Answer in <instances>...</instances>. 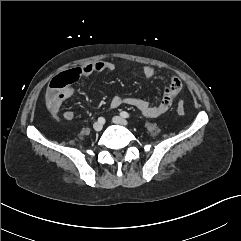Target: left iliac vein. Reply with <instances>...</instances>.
I'll use <instances>...</instances> for the list:
<instances>
[{"instance_id": "left-iliac-vein-1", "label": "left iliac vein", "mask_w": 241, "mask_h": 241, "mask_svg": "<svg viewBox=\"0 0 241 241\" xmlns=\"http://www.w3.org/2000/svg\"><path fill=\"white\" fill-rule=\"evenodd\" d=\"M112 121L115 124H119V125H123V126L128 125V121L120 116H114Z\"/></svg>"}]
</instances>
